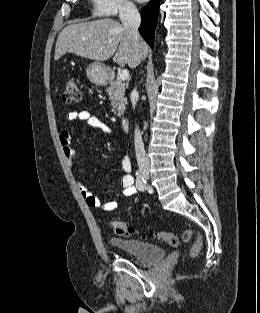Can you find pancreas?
Here are the masks:
<instances>
[{
	"instance_id": "pancreas-1",
	"label": "pancreas",
	"mask_w": 260,
	"mask_h": 313,
	"mask_svg": "<svg viewBox=\"0 0 260 313\" xmlns=\"http://www.w3.org/2000/svg\"><path fill=\"white\" fill-rule=\"evenodd\" d=\"M106 92L111 101L112 112L117 116L123 115L127 104V98L125 97V83L120 79H115L111 82L110 86L106 88Z\"/></svg>"
}]
</instances>
